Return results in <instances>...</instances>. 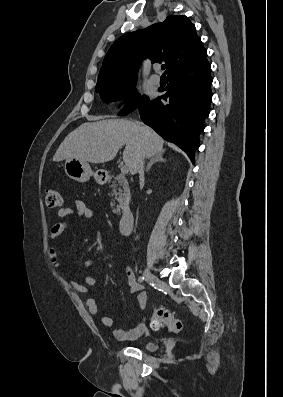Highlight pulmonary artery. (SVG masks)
<instances>
[{"instance_id":"pulmonary-artery-1","label":"pulmonary artery","mask_w":283,"mask_h":397,"mask_svg":"<svg viewBox=\"0 0 283 397\" xmlns=\"http://www.w3.org/2000/svg\"><path fill=\"white\" fill-rule=\"evenodd\" d=\"M159 69H160V67L158 65L155 66V71H158ZM150 81H151V83L157 85L160 83V76L158 74H153L150 77Z\"/></svg>"}]
</instances>
